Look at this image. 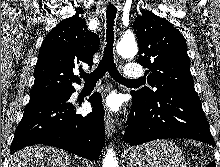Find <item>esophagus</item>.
Returning a JSON list of instances; mask_svg holds the SVG:
<instances>
[{"label":"esophagus","mask_w":220,"mask_h":167,"mask_svg":"<svg viewBox=\"0 0 220 167\" xmlns=\"http://www.w3.org/2000/svg\"><path fill=\"white\" fill-rule=\"evenodd\" d=\"M104 122L107 137H112L113 133L115 132V120L107 108L105 109Z\"/></svg>","instance_id":"1"}]
</instances>
